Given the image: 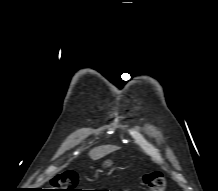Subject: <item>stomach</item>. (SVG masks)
Instances as JSON below:
<instances>
[{"label":"stomach","instance_id":"1","mask_svg":"<svg viewBox=\"0 0 218 191\" xmlns=\"http://www.w3.org/2000/svg\"><path fill=\"white\" fill-rule=\"evenodd\" d=\"M113 164V161L111 159H107L105 161H103L102 165L103 167H111Z\"/></svg>","mask_w":218,"mask_h":191}]
</instances>
